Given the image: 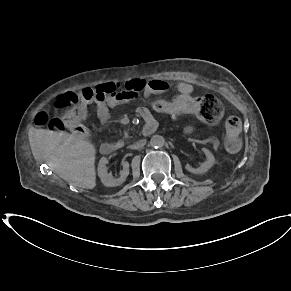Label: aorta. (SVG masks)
Returning a JSON list of instances; mask_svg holds the SVG:
<instances>
[{
  "label": "aorta",
  "instance_id": "1",
  "mask_svg": "<svg viewBox=\"0 0 291 291\" xmlns=\"http://www.w3.org/2000/svg\"><path fill=\"white\" fill-rule=\"evenodd\" d=\"M150 144L153 147H157V148L162 147L165 144V139L162 135L155 134L152 136V138L150 140Z\"/></svg>",
  "mask_w": 291,
  "mask_h": 291
}]
</instances>
